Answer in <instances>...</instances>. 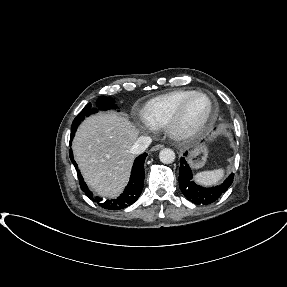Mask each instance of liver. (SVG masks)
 I'll return each instance as SVG.
<instances>
[{
	"instance_id": "1",
	"label": "liver",
	"mask_w": 287,
	"mask_h": 287,
	"mask_svg": "<svg viewBox=\"0 0 287 287\" xmlns=\"http://www.w3.org/2000/svg\"><path fill=\"white\" fill-rule=\"evenodd\" d=\"M139 130L124 115L98 113L79 126L73 152L86 183L100 196L117 197L127 185Z\"/></svg>"
}]
</instances>
